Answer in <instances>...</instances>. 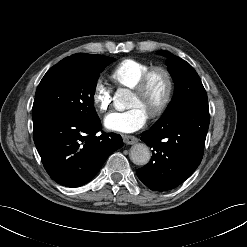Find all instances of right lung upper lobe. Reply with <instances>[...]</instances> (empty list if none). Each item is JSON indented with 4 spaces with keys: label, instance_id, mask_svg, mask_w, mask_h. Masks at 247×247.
Returning <instances> with one entry per match:
<instances>
[{
    "label": "right lung upper lobe",
    "instance_id": "1",
    "mask_svg": "<svg viewBox=\"0 0 247 247\" xmlns=\"http://www.w3.org/2000/svg\"><path fill=\"white\" fill-rule=\"evenodd\" d=\"M90 55H92V54L77 53V54L71 55L70 57H66L64 59L85 58V57H88Z\"/></svg>",
    "mask_w": 247,
    "mask_h": 247
}]
</instances>
